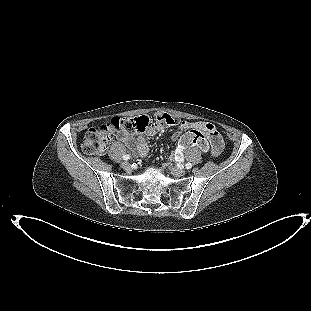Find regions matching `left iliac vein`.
Here are the masks:
<instances>
[{"label": "left iliac vein", "mask_w": 311, "mask_h": 311, "mask_svg": "<svg viewBox=\"0 0 311 311\" xmlns=\"http://www.w3.org/2000/svg\"><path fill=\"white\" fill-rule=\"evenodd\" d=\"M170 171L175 176H183L186 173V170L183 168L170 167Z\"/></svg>", "instance_id": "left-iliac-vein-1"}]
</instances>
